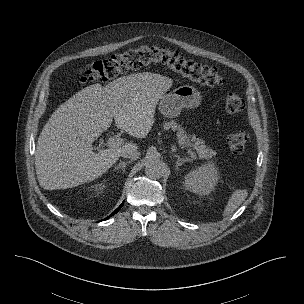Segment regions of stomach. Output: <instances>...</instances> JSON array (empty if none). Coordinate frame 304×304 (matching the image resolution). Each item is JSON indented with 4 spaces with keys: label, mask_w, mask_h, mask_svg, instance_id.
<instances>
[{
    "label": "stomach",
    "mask_w": 304,
    "mask_h": 304,
    "mask_svg": "<svg viewBox=\"0 0 304 304\" xmlns=\"http://www.w3.org/2000/svg\"><path fill=\"white\" fill-rule=\"evenodd\" d=\"M200 103V92L192 86L183 85L164 94L159 99L158 109L165 117L175 118L183 108H195Z\"/></svg>",
    "instance_id": "obj_1"
}]
</instances>
